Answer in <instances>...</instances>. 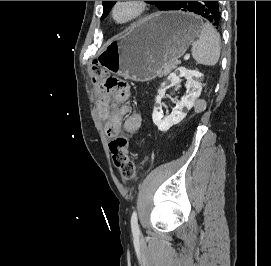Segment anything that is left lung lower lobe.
<instances>
[{
	"instance_id": "left-lung-lower-lobe-1",
	"label": "left lung lower lobe",
	"mask_w": 271,
	"mask_h": 266,
	"mask_svg": "<svg viewBox=\"0 0 271 266\" xmlns=\"http://www.w3.org/2000/svg\"><path fill=\"white\" fill-rule=\"evenodd\" d=\"M163 10L194 12L206 18L216 28L221 22L218 1H171Z\"/></svg>"
}]
</instances>
